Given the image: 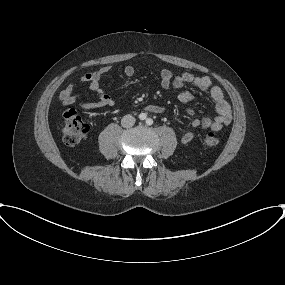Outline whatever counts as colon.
<instances>
[{
    "label": "colon",
    "mask_w": 285,
    "mask_h": 285,
    "mask_svg": "<svg viewBox=\"0 0 285 285\" xmlns=\"http://www.w3.org/2000/svg\"><path fill=\"white\" fill-rule=\"evenodd\" d=\"M89 126L85 123L75 110L66 111L63 115L62 136L63 141L68 146H76L88 134ZM219 139L215 133L209 132L204 137V144L214 147Z\"/></svg>",
    "instance_id": "5ec220e1"
}]
</instances>
